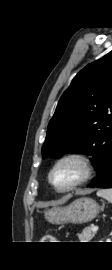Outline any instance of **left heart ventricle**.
<instances>
[{
  "instance_id": "obj_1",
  "label": "left heart ventricle",
  "mask_w": 112,
  "mask_h": 270,
  "mask_svg": "<svg viewBox=\"0 0 112 270\" xmlns=\"http://www.w3.org/2000/svg\"><path fill=\"white\" fill-rule=\"evenodd\" d=\"M82 175L81 167L75 162L62 164L53 174V182L59 188H64L77 181Z\"/></svg>"
}]
</instances>
